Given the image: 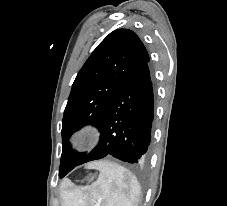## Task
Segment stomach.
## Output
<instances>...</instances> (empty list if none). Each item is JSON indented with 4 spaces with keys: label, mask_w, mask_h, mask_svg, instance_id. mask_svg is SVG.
<instances>
[{
    "label": "stomach",
    "mask_w": 227,
    "mask_h": 206,
    "mask_svg": "<svg viewBox=\"0 0 227 206\" xmlns=\"http://www.w3.org/2000/svg\"><path fill=\"white\" fill-rule=\"evenodd\" d=\"M92 180V178H88V181H91Z\"/></svg>",
    "instance_id": "stomach-1"
}]
</instances>
